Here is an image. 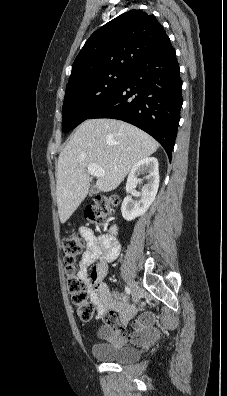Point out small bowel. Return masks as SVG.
I'll use <instances>...</instances> for the list:
<instances>
[{"label":"small bowel","mask_w":227,"mask_h":396,"mask_svg":"<svg viewBox=\"0 0 227 396\" xmlns=\"http://www.w3.org/2000/svg\"><path fill=\"white\" fill-rule=\"evenodd\" d=\"M80 233L86 242V251L80 260L77 276L86 284L90 301L95 305L98 316L104 315L105 324L99 328V337L114 344L132 341L147 345L155 341L159 331L153 326L154 315L150 312L142 313L134 321L133 330L127 332L126 327L137 315L138 309L129 303L125 294L110 291L103 282L109 264L120 253L117 239L106 235L97 236L87 227H82ZM91 266L93 267L89 271Z\"/></svg>","instance_id":"small-bowel-1"}]
</instances>
